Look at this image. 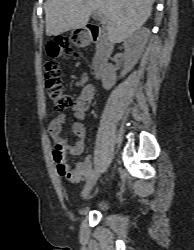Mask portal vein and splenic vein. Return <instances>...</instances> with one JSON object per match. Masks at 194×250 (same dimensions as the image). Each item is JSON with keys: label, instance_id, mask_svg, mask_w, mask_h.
<instances>
[{"label": "portal vein and splenic vein", "instance_id": "18ae733b", "mask_svg": "<svg viewBox=\"0 0 194 250\" xmlns=\"http://www.w3.org/2000/svg\"><path fill=\"white\" fill-rule=\"evenodd\" d=\"M94 16L98 17L100 19V21H101L102 24L107 23V18L104 17L101 13L94 12Z\"/></svg>", "mask_w": 194, "mask_h": 250}]
</instances>
